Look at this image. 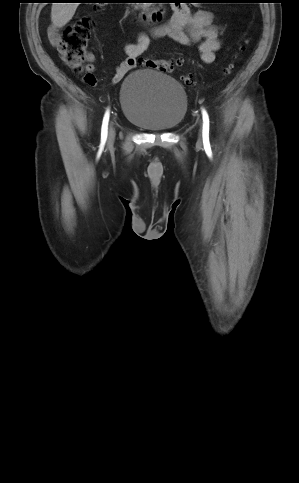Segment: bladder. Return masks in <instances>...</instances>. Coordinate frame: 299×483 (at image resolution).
<instances>
[{
    "mask_svg": "<svg viewBox=\"0 0 299 483\" xmlns=\"http://www.w3.org/2000/svg\"><path fill=\"white\" fill-rule=\"evenodd\" d=\"M119 102L126 121L148 131H170L188 109L183 86L151 68L135 69L123 80Z\"/></svg>",
    "mask_w": 299,
    "mask_h": 483,
    "instance_id": "1",
    "label": "bladder"
}]
</instances>
